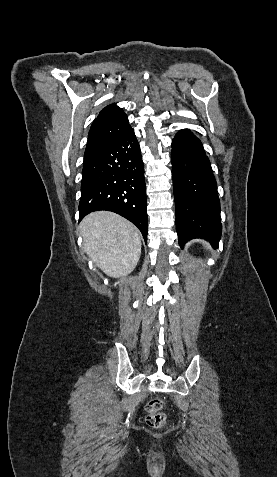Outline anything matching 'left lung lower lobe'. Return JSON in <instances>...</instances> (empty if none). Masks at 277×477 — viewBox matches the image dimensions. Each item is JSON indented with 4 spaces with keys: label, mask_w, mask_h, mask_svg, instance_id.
<instances>
[{
    "label": "left lung lower lobe",
    "mask_w": 277,
    "mask_h": 477,
    "mask_svg": "<svg viewBox=\"0 0 277 477\" xmlns=\"http://www.w3.org/2000/svg\"><path fill=\"white\" fill-rule=\"evenodd\" d=\"M176 228L181 247L194 238L218 247L222 225L217 184L201 141L188 129L172 142Z\"/></svg>",
    "instance_id": "0a47b994"
}]
</instances>
